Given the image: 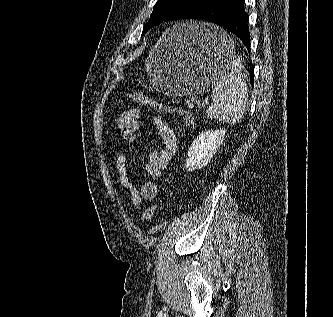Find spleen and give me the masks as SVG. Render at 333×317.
<instances>
[{
	"mask_svg": "<svg viewBox=\"0 0 333 317\" xmlns=\"http://www.w3.org/2000/svg\"><path fill=\"white\" fill-rule=\"evenodd\" d=\"M210 37L216 47L227 45L228 62L225 72L212 90V103L206 114L215 120L236 124L244 116L248 99V91L244 82L245 69L242 59L233 53V42L223 29L214 26Z\"/></svg>",
	"mask_w": 333,
	"mask_h": 317,
	"instance_id": "spleen-1",
	"label": "spleen"
}]
</instances>
